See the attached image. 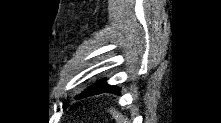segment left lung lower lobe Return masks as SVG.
I'll use <instances>...</instances> for the list:
<instances>
[{
    "label": "left lung lower lobe",
    "instance_id": "0a47b994",
    "mask_svg": "<svg viewBox=\"0 0 221 123\" xmlns=\"http://www.w3.org/2000/svg\"><path fill=\"white\" fill-rule=\"evenodd\" d=\"M103 92H116V93H119V89L116 86H110V85L106 84L105 81H100L97 84L89 87L84 92H82L79 96L76 97V99L82 98V97H87V96H90V95L100 94V93H103Z\"/></svg>",
    "mask_w": 221,
    "mask_h": 123
}]
</instances>
